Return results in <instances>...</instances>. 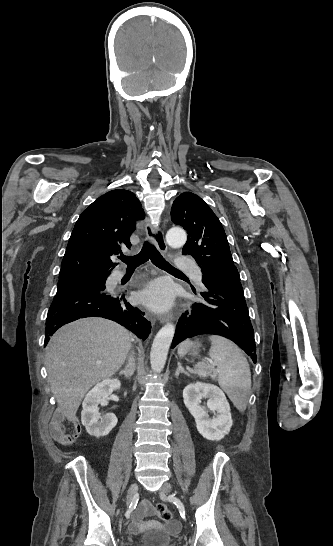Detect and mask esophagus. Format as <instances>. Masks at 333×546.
<instances>
[{"mask_svg": "<svg viewBox=\"0 0 333 546\" xmlns=\"http://www.w3.org/2000/svg\"><path fill=\"white\" fill-rule=\"evenodd\" d=\"M146 235L154 241L157 248L162 252H167V244L164 238V233L161 230L160 227L153 226L149 220H147L146 226H145ZM172 313H164L159 315L158 320L160 323L164 324L173 319Z\"/></svg>", "mask_w": 333, "mask_h": 546, "instance_id": "obj_1", "label": "esophagus"}]
</instances>
